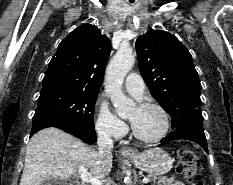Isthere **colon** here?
Wrapping results in <instances>:
<instances>
[{
	"label": "colon",
	"instance_id": "obj_1",
	"mask_svg": "<svg viewBox=\"0 0 233 185\" xmlns=\"http://www.w3.org/2000/svg\"><path fill=\"white\" fill-rule=\"evenodd\" d=\"M198 168V158L195 152L190 148H185L181 151L177 171L182 174L186 179L193 181L196 176ZM196 185H203L201 182H197Z\"/></svg>",
	"mask_w": 233,
	"mask_h": 185
}]
</instances>
